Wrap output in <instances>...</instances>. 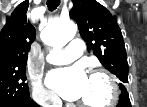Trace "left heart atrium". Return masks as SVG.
<instances>
[{"label":"left heart atrium","instance_id":"obj_1","mask_svg":"<svg viewBox=\"0 0 147 107\" xmlns=\"http://www.w3.org/2000/svg\"><path fill=\"white\" fill-rule=\"evenodd\" d=\"M88 77L80 66L53 70L47 77L48 86L65 100L75 101L85 92Z\"/></svg>","mask_w":147,"mask_h":107}]
</instances>
